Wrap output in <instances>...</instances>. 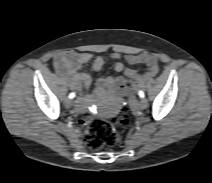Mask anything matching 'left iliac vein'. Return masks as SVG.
Wrapping results in <instances>:
<instances>
[{"label": "left iliac vein", "instance_id": "4c4485c4", "mask_svg": "<svg viewBox=\"0 0 212 183\" xmlns=\"http://www.w3.org/2000/svg\"><path fill=\"white\" fill-rule=\"evenodd\" d=\"M140 108L145 109L148 106V101L146 98H142L139 102Z\"/></svg>", "mask_w": 212, "mask_h": 183}]
</instances>
